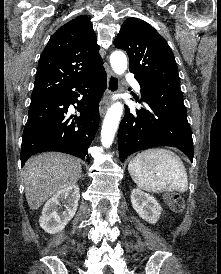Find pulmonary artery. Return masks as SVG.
<instances>
[{
  "label": "pulmonary artery",
  "mask_w": 221,
  "mask_h": 274,
  "mask_svg": "<svg viewBox=\"0 0 221 274\" xmlns=\"http://www.w3.org/2000/svg\"><path fill=\"white\" fill-rule=\"evenodd\" d=\"M128 79L132 83V86L134 87V89L139 92L140 91L139 83L131 75H128Z\"/></svg>",
  "instance_id": "pulmonary-artery-1"
}]
</instances>
